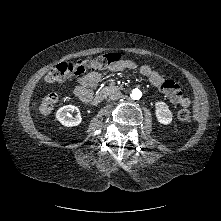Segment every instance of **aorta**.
I'll list each match as a JSON object with an SVG mask.
<instances>
[{
	"instance_id": "aorta-1",
	"label": "aorta",
	"mask_w": 221,
	"mask_h": 221,
	"mask_svg": "<svg viewBox=\"0 0 221 221\" xmlns=\"http://www.w3.org/2000/svg\"><path fill=\"white\" fill-rule=\"evenodd\" d=\"M130 96L133 100H139L142 97V92L139 89H133Z\"/></svg>"
}]
</instances>
